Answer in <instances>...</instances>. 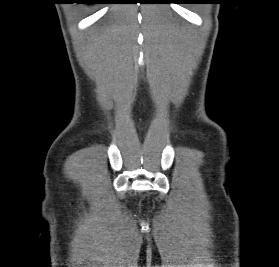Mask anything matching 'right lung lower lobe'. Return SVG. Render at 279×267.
<instances>
[{"instance_id": "98d812e1", "label": "right lung lower lobe", "mask_w": 279, "mask_h": 267, "mask_svg": "<svg viewBox=\"0 0 279 267\" xmlns=\"http://www.w3.org/2000/svg\"><path fill=\"white\" fill-rule=\"evenodd\" d=\"M86 3H97L95 0H89L88 2Z\"/></svg>"}]
</instances>
